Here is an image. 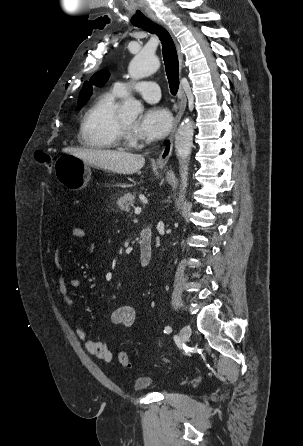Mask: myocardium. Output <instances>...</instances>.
Returning a JSON list of instances; mask_svg holds the SVG:
<instances>
[{"label": "myocardium", "mask_w": 303, "mask_h": 446, "mask_svg": "<svg viewBox=\"0 0 303 446\" xmlns=\"http://www.w3.org/2000/svg\"><path fill=\"white\" fill-rule=\"evenodd\" d=\"M119 130H120V143L128 144L131 141V129L128 128L124 122L119 120Z\"/></svg>", "instance_id": "f54148a6"}]
</instances>
